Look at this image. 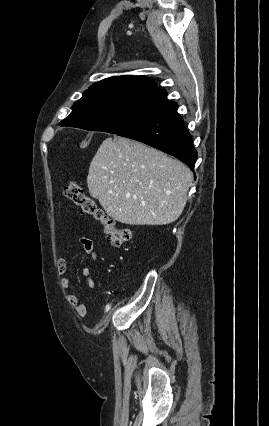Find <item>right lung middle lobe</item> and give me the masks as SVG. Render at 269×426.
<instances>
[{
	"instance_id": "dd1d6c3e",
	"label": "right lung middle lobe",
	"mask_w": 269,
	"mask_h": 426,
	"mask_svg": "<svg viewBox=\"0 0 269 426\" xmlns=\"http://www.w3.org/2000/svg\"><path fill=\"white\" fill-rule=\"evenodd\" d=\"M163 94L127 91L83 95L59 125L117 134L141 121Z\"/></svg>"
}]
</instances>
